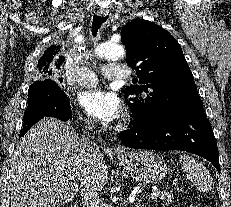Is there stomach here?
<instances>
[{
  "label": "stomach",
  "instance_id": "1",
  "mask_svg": "<svg viewBox=\"0 0 231 207\" xmlns=\"http://www.w3.org/2000/svg\"><path fill=\"white\" fill-rule=\"evenodd\" d=\"M119 159L130 176L144 184L157 183L167 174L166 162L153 152H128Z\"/></svg>",
  "mask_w": 231,
  "mask_h": 207
}]
</instances>
